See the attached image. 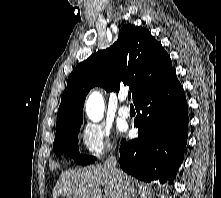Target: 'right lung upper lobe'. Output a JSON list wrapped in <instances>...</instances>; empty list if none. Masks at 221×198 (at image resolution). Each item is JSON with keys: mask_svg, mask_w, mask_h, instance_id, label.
Segmentation results:
<instances>
[{"mask_svg": "<svg viewBox=\"0 0 221 198\" xmlns=\"http://www.w3.org/2000/svg\"><path fill=\"white\" fill-rule=\"evenodd\" d=\"M173 70L170 56L148 30L124 25L117 42L78 64L70 74L57 113L56 135L81 126L91 88L118 92L121 85H128L135 104Z\"/></svg>", "mask_w": 221, "mask_h": 198, "instance_id": "obj_1", "label": "right lung upper lobe"}]
</instances>
